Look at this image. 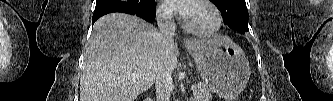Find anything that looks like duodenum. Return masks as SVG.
<instances>
[{"label":"duodenum","instance_id":"410a0bca","mask_svg":"<svg viewBox=\"0 0 333 101\" xmlns=\"http://www.w3.org/2000/svg\"><path fill=\"white\" fill-rule=\"evenodd\" d=\"M145 101H151V99L147 98V99H145Z\"/></svg>","mask_w":333,"mask_h":101}]
</instances>
